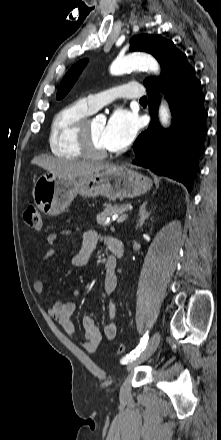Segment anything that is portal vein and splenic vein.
<instances>
[{"label": "portal vein and splenic vein", "instance_id": "18ae733b", "mask_svg": "<svg viewBox=\"0 0 221 440\" xmlns=\"http://www.w3.org/2000/svg\"><path fill=\"white\" fill-rule=\"evenodd\" d=\"M128 217V214H123L121 215L118 219H117V223H122L123 221H125Z\"/></svg>", "mask_w": 221, "mask_h": 440}]
</instances>
